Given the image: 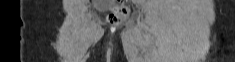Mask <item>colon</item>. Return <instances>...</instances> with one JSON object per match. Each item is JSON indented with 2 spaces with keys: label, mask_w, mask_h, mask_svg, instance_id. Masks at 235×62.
Wrapping results in <instances>:
<instances>
[{
  "label": "colon",
  "mask_w": 235,
  "mask_h": 62,
  "mask_svg": "<svg viewBox=\"0 0 235 62\" xmlns=\"http://www.w3.org/2000/svg\"><path fill=\"white\" fill-rule=\"evenodd\" d=\"M113 3L108 20L111 24H120L128 17L129 10L125 5V0H114Z\"/></svg>",
  "instance_id": "obj_1"
}]
</instances>
